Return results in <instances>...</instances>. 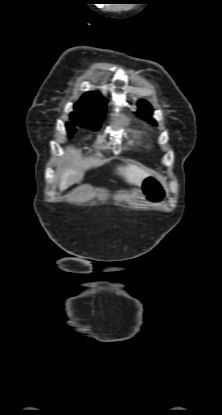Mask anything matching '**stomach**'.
Segmentation results:
<instances>
[{
    "label": "stomach",
    "mask_w": 222,
    "mask_h": 415,
    "mask_svg": "<svg viewBox=\"0 0 222 415\" xmlns=\"http://www.w3.org/2000/svg\"><path fill=\"white\" fill-rule=\"evenodd\" d=\"M144 197L152 204L163 203L169 195L165 179L152 173L140 185Z\"/></svg>",
    "instance_id": "obj_1"
}]
</instances>
